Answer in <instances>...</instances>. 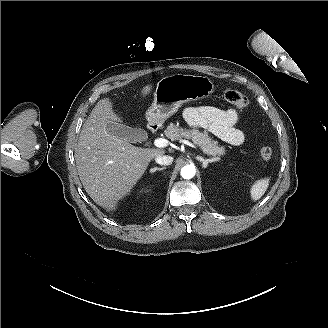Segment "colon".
Segmentation results:
<instances>
[{
	"instance_id": "1",
	"label": "colon",
	"mask_w": 328,
	"mask_h": 328,
	"mask_svg": "<svg viewBox=\"0 0 328 328\" xmlns=\"http://www.w3.org/2000/svg\"><path fill=\"white\" fill-rule=\"evenodd\" d=\"M224 98L229 104L239 109H244L249 104L247 97L243 95L241 92L236 90H227L224 93ZM259 155L261 159H263L264 161H268L272 158L273 150L270 146L267 145L262 146L260 148Z\"/></svg>"
}]
</instances>
